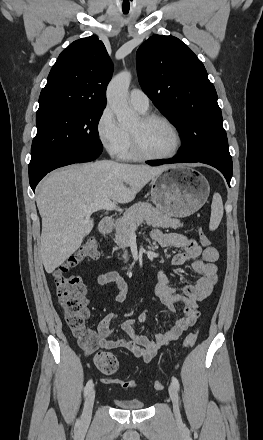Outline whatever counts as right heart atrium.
I'll return each instance as SVG.
<instances>
[{
	"instance_id": "obj_1",
	"label": "right heart atrium",
	"mask_w": 263,
	"mask_h": 440,
	"mask_svg": "<svg viewBox=\"0 0 263 440\" xmlns=\"http://www.w3.org/2000/svg\"><path fill=\"white\" fill-rule=\"evenodd\" d=\"M97 137L109 154L121 152L128 140L126 129L119 124L115 114L108 106L105 107L96 123Z\"/></svg>"
}]
</instances>
